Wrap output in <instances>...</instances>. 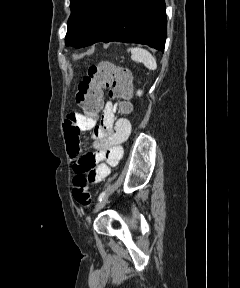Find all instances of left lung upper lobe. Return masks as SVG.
Instances as JSON below:
<instances>
[{"label": "left lung upper lobe", "mask_w": 240, "mask_h": 288, "mask_svg": "<svg viewBox=\"0 0 240 288\" xmlns=\"http://www.w3.org/2000/svg\"><path fill=\"white\" fill-rule=\"evenodd\" d=\"M65 44L81 47L101 20L108 0H70Z\"/></svg>", "instance_id": "5c2ea615"}]
</instances>
